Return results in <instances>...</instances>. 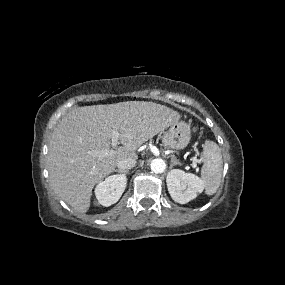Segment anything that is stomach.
<instances>
[{
	"label": "stomach",
	"mask_w": 285,
	"mask_h": 285,
	"mask_svg": "<svg viewBox=\"0 0 285 285\" xmlns=\"http://www.w3.org/2000/svg\"><path fill=\"white\" fill-rule=\"evenodd\" d=\"M191 139L190 126L183 121L173 122L162 138L163 146L170 149H183Z\"/></svg>",
	"instance_id": "stomach-1"
}]
</instances>
